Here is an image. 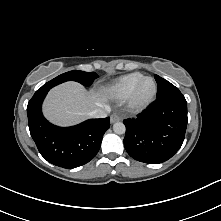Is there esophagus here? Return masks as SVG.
<instances>
[{"instance_id":"esophagus-1","label":"esophagus","mask_w":221,"mask_h":221,"mask_svg":"<svg viewBox=\"0 0 221 221\" xmlns=\"http://www.w3.org/2000/svg\"><path fill=\"white\" fill-rule=\"evenodd\" d=\"M120 119H121L120 116L118 114L114 113L110 117V122L115 123V122L119 121Z\"/></svg>"}]
</instances>
